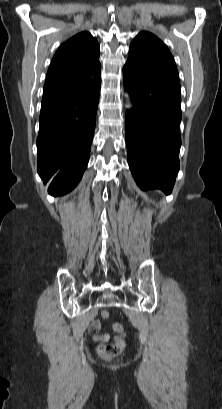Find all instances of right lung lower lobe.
Returning a JSON list of instances; mask_svg holds the SVG:
<instances>
[{
  "label": "right lung lower lobe",
  "instance_id": "obj_1",
  "mask_svg": "<svg viewBox=\"0 0 222 409\" xmlns=\"http://www.w3.org/2000/svg\"><path fill=\"white\" fill-rule=\"evenodd\" d=\"M77 93L42 100L37 171L51 195L69 193L87 166L100 96L101 71Z\"/></svg>",
  "mask_w": 222,
  "mask_h": 409
}]
</instances>
